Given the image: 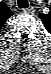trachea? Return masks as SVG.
Instances as JSON below:
<instances>
[{
    "mask_svg": "<svg viewBox=\"0 0 51 74\" xmlns=\"http://www.w3.org/2000/svg\"><path fill=\"white\" fill-rule=\"evenodd\" d=\"M18 7L19 8H27L28 7V1L27 0H18Z\"/></svg>",
    "mask_w": 51,
    "mask_h": 74,
    "instance_id": "trachea-1",
    "label": "trachea"
}]
</instances>
